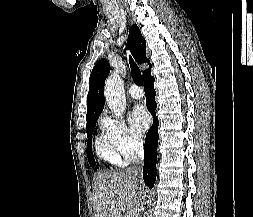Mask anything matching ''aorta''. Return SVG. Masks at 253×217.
<instances>
[{
    "instance_id": "762f6f07",
    "label": "aorta",
    "mask_w": 253,
    "mask_h": 217,
    "mask_svg": "<svg viewBox=\"0 0 253 217\" xmlns=\"http://www.w3.org/2000/svg\"><path fill=\"white\" fill-rule=\"evenodd\" d=\"M105 99L115 117H121L126 110V97L122 80L118 73L111 74L105 82Z\"/></svg>"
}]
</instances>
